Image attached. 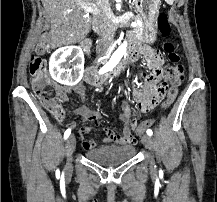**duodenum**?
<instances>
[{
    "instance_id": "duodenum-1",
    "label": "duodenum",
    "mask_w": 217,
    "mask_h": 202,
    "mask_svg": "<svg viewBox=\"0 0 217 202\" xmlns=\"http://www.w3.org/2000/svg\"><path fill=\"white\" fill-rule=\"evenodd\" d=\"M138 45L139 44L137 42L132 43L126 62L118 66L113 71H107L102 74H99L95 68L93 67L87 68L84 75V81L92 86L99 87L104 83H106L107 81H109L110 79L114 77H118L126 70V68L131 66L137 60L139 55Z\"/></svg>"
}]
</instances>
